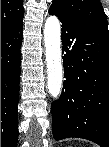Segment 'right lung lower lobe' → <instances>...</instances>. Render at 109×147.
Returning <instances> with one entry per match:
<instances>
[{"instance_id": "1", "label": "right lung lower lobe", "mask_w": 109, "mask_h": 147, "mask_svg": "<svg viewBox=\"0 0 109 147\" xmlns=\"http://www.w3.org/2000/svg\"><path fill=\"white\" fill-rule=\"evenodd\" d=\"M23 21L1 31V146L18 142L17 105L19 99L20 47Z\"/></svg>"}]
</instances>
